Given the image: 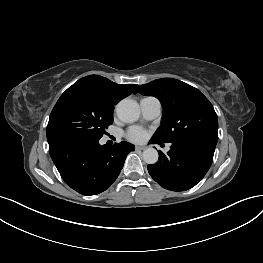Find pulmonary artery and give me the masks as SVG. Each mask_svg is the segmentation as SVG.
Listing matches in <instances>:
<instances>
[{
  "label": "pulmonary artery",
  "mask_w": 263,
  "mask_h": 263,
  "mask_svg": "<svg viewBox=\"0 0 263 263\" xmlns=\"http://www.w3.org/2000/svg\"><path fill=\"white\" fill-rule=\"evenodd\" d=\"M142 118L150 121L158 118L161 114V103L155 97H145L140 101Z\"/></svg>",
  "instance_id": "e3ab8cb5"
}]
</instances>
